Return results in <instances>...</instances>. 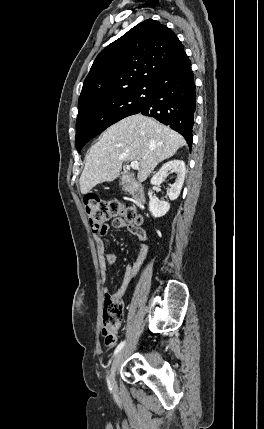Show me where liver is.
<instances>
[{"label":"liver","instance_id":"6515ba94","mask_svg":"<svg viewBox=\"0 0 264 429\" xmlns=\"http://www.w3.org/2000/svg\"><path fill=\"white\" fill-rule=\"evenodd\" d=\"M186 144L177 132L142 114L126 117L107 128L86 158L80 191L116 179L124 161H138L137 179L144 182L154 168Z\"/></svg>","mask_w":264,"mask_h":429}]
</instances>
